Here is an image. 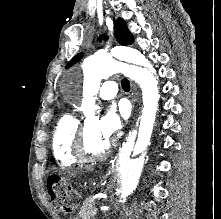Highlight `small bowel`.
I'll use <instances>...</instances> for the list:
<instances>
[{"mask_svg":"<svg viewBox=\"0 0 221 219\" xmlns=\"http://www.w3.org/2000/svg\"><path fill=\"white\" fill-rule=\"evenodd\" d=\"M70 219H78V218H70Z\"/></svg>","mask_w":221,"mask_h":219,"instance_id":"small-bowel-1","label":"small bowel"}]
</instances>
